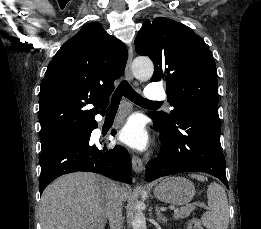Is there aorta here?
<instances>
[{"instance_id":"1","label":"aorta","mask_w":261,"mask_h":229,"mask_svg":"<svg viewBox=\"0 0 261 229\" xmlns=\"http://www.w3.org/2000/svg\"><path fill=\"white\" fill-rule=\"evenodd\" d=\"M132 72L139 80H149L154 72V64L148 56H136L132 62ZM144 203H137L132 229H147L146 217L143 213Z\"/></svg>"}]
</instances>
